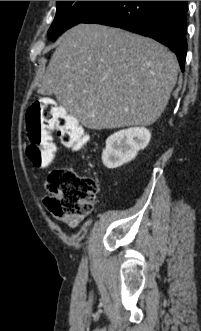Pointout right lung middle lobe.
Wrapping results in <instances>:
<instances>
[{
	"label": "right lung middle lobe",
	"instance_id": "obj_1",
	"mask_svg": "<svg viewBox=\"0 0 201 331\" xmlns=\"http://www.w3.org/2000/svg\"><path fill=\"white\" fill-rule=\"evenodd\" d=\"M107 2L109 1H58L55 19L48 31L49 38L55 41L58 35L82 23Z\"/></svg>",
	"mask_w": 201,
	"mask_h": 331
}]
</instances>
